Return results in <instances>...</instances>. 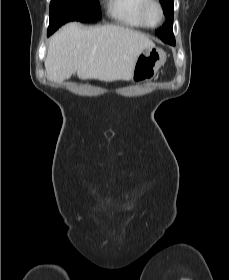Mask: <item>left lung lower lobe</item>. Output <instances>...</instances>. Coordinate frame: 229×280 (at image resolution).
<instances>
[{"label":"left lung lower lobe","instance_id":"0a47b994","mask_svg":"<svg viewBox=\"0 0 229 280\" xmlns=\"http://www.w3.org/2000/svg\"><path fill=\"white\" fill-rule=\"evenodd\" d=\"M168 44L175 45V40L171 41V43Z\"/></svg>","mask_w":229,"mask_h":280}]
</instances>
